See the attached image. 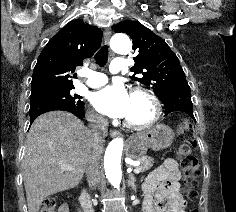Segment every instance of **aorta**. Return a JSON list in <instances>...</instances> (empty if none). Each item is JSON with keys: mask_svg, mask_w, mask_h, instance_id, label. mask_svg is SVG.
I'll return each instance as SVG.
<instances>
[{"mask_svg": "<svg viewBox=\"0 0 236 212\" xmlns=\"http://www.w3.org/2000/svg\"><path fill=\"white\" fill-rule=\"evenodd\" d=\"M110 45L111 48L119 54H126L132 48L129 37L123 33L115 34L111 38ZM123 146L124 142L122 138L118 137L113 139L109 143L104 156L105 174L114 188H119L122 179L121 156Z\"/></svg>", "mask_w": 236, "mask_h": 212, "instance_id": "aorta-1", "label": "aorta"}]
</instances>
